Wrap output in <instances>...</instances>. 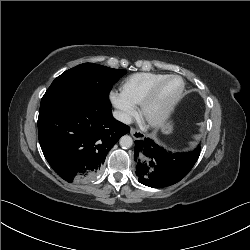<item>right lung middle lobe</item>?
I'll use <instances>...</instances> for the list:
<instances>
[{
  "label": "right lung middle lobe",
  "mask_w": 250,
  "mask_h": 250,
  "mask_svg": "<svg viewBox=\"0 0 250 250\" xmlns=\"http://www.w3.org/2000/svg\"><path fill=\"white\" fill-rule=\"evenodd\" d=\"M125 73L126 70L93 63L73 67L52 82L41 99L39 111L73 93L85 92L108 98L113 84Z\"/></svg>",
  "instance_id": "right-lung-middle-lobe-1"
}]
</instances>
